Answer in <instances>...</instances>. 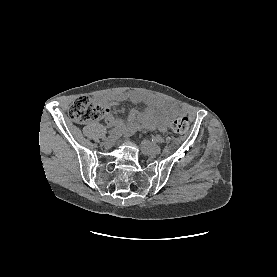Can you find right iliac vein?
Masks as SVG:
<instances>
[{"instance_id": "obj_1", "label": "right iliac vein", "mask_w": 277, "mask_h": 277, "mask_svg": "<svg viewBox=\"0 0 277 277\" xmlns=\"http://www.w3.org/2000/svg\"><path fill=\"white\" fill-rule=\"evenodd\" d=\"M114 143H115V135H111L104 140L103 145L106 148H110L114 145Z\"/></svg>"}]
</instances>
